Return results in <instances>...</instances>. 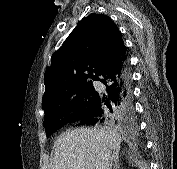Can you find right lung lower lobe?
<instances>
[{
    "mask_svg": "<svg viewBox=\"0 0 177 169\" xmlns=\"http://www.w3.org/2000/svg\"><path fill=\"white\" fill-rule=\"evenodd\" d=\"M106 86L107 93H98L92 106L79 118V125H125L134 117L132 76L127 58L106 67L95 79Z\"/></svg>",
    "mask_w": 177,
    "mask_h": 169,
    "instance_id": "right-lung-lower-lobe-1",
    "label": "right lung lower lobe"
}]
</instances>
